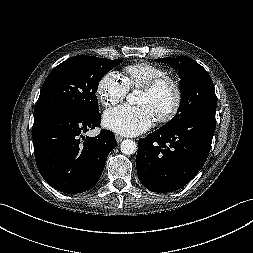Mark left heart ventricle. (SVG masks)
<instances>
[{
  "label": "left heart ventricle",
  "mask_w": 253,
  "mask_h": 253,
  "mask_svg": "<svg viewBox=\"0 0 253 253\" xmlns=\"http://www.w3.org/2000/svg\"><path fill=\"white\" fill-rule=\"evenodd\" d=\"M171 101L172 96L168 90H163L156 97L143 91L139 99V104L150 106L156 116L159 112L167 109L171 104Z\"/></svg>",
  "instance_id": "1"
}]
</instances>
